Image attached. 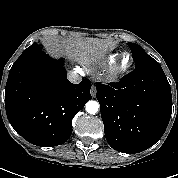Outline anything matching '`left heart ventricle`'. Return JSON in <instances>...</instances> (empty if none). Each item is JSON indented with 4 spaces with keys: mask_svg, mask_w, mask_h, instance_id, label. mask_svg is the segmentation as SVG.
<instances>
[{
    "mask_svg": "<svg viewBox=\"0 0 178 178\" xmlns=\"http://www.w3.org/2000/svg\"><path fill=\"white\" fill-rule=\"evenodd\" d=\"M129 62H130L129 56H128V55H125V56L123 57V65H124V66H125V65H128Z\"/></svg>",
    "mask_w": 178,
    "mask_h": 178,
    "instance_id": "1",
    "label": "left heart ventricle"
}]
</instances>
